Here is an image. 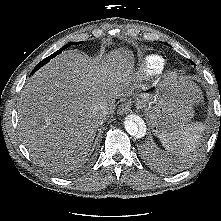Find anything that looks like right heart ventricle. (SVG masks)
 I'll use <instances>...</instances> for the list:
<instances>
[{
    "label": "right heart ventricle",
    "instance_id": "1",
    "mask_svg": "<svg viewBox=\"0 0 221 221\" xmlns=\"http://www.w3.org/2000/svg\"><path fill=\"white\" fill-rule=\"evenodd\" d=\"M167 61L160 55L152 54L144 57L138 65L136 77L139 80L153 79L165 70Z\"/></svg>",
    "mask_w": 221,
    "mask_h": 221
}]
</instances>
